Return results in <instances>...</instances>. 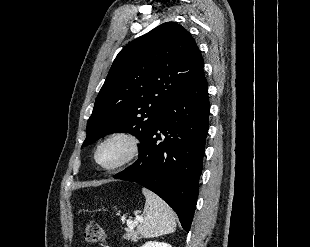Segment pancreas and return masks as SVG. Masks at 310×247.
Here are the masks:
<instances>
[{"label": "pancreas", "mask_w": 310, "mask_h": 247, "mask_svg": "<svg viewBox=\"0 0 310 247\" xmlns=\"http://www.w3.org/2000/svg\"><path fill=\"white\" fill-rule=\"evenodd\" d=\"M126 233L123 235L124 239L136 242L139 239L138 233L132 229H125Z\"/></svg>", "instance_id": "obj_1"}]
</instances>
